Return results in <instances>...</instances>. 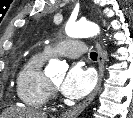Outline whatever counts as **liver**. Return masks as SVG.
<instances>
[{"label": "liver", "mask_w": 133, "mask_h": 118, "mask_svg": "<svg viewBox=\"0 0 133 118\" xmlns=\"http://www.w3.org/2000/svg\"><path fill=\"white\" fill-rule=\"evenodd\" d=\"M47 118L44 112L31 108H11L6 110L2 118Z\"/></svg>", "instance_id": "6515ba94"}]
</instances>
